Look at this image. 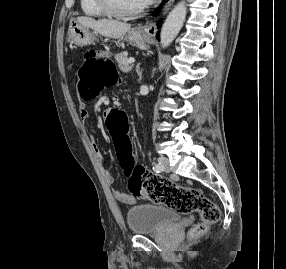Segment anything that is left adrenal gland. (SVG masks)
I'll return each mask as SVG.
<instances>
[{"mask_svg":"<svg viewBox=\"0 0 286 269\" xmlns=\"http://www.w3.org/2000/svg\"><path fill=\"white\" fill-rule=\"evenodd\" d=\"M136 73H137V75L139 77V82H140L141 79H142V70L140 69V63L137 64V66H136Z\"/></svg>","mask_w":286,"mask_h":269,"instance_id":"1","label":"left adrenal gland"}]
</instances>
